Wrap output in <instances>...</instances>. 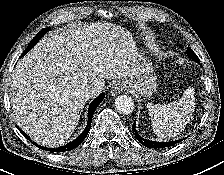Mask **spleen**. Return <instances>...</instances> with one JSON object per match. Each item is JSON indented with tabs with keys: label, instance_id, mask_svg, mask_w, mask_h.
Returning <instances> with one entry per match:
<instances>
[{
	"label": "spleen",
	"instance_id": "obj_1",
	"mask_svg": "<svg viewBox=\"0 0 224 175\" xmlns=\"http://www.w3.org/2000/svg\"><path fill=\"white\" fill-rule=\"evenodd\" d=\"M194 88L185 90L178 101L168 104H153L147 108L154 133L162 139H170L179 135L189 124L195 110Z\"/></svg>",
	"mask_w": 224,
	"mask_h": 175
}]
</instances>
